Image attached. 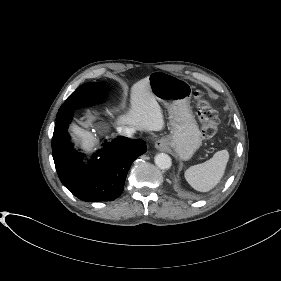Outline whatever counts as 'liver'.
Listing matches in <instances>:
<instances>
[{
  "instance_id": "1",
  "label": "liver",
  "mask_w": 281,
  "mask_h": 281,
  "mask_svg": "<svg viewBox=\"0 0 281 281\" xmlns=\"http://www.w3.org/2000/svg\"><path fill=\"white\" fill-rule=\"evenodd\" d=\"M130 103L128 113L118 119L119 125L127 124L145 131H160L164 128L162 110L150 89L148 77L131 87ZM71 131L85 151H92L97 146L98 140L92 132L75 124L71 126Z\"/></svg>"
}]
</instances>
